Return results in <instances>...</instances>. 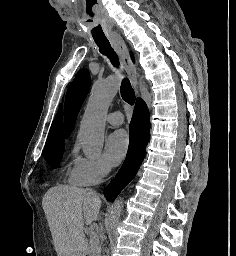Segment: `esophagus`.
Returning a JSON list of instances; mask_svg holds the SVG:
<instances>
[{
	"label": "esophagus",
	"instance_id": "34e87169",
	"mask_svg": "<svg viewBox=\"0 0 236 256\" xmlns=\"http://www.w3.org/2000/svg\"><path fill=\"white\" fill-rule=\"evenodd\" d=\"M110 40L113 43V45L119 55L122 65L128 75V78L130 79L132 85L137 87L138 80H137L136 68L131 61L129 51H128L125 41L123 40V38L121 37V35L119 33L111 34ZM138 95H139V93H138Z\"/></svg>",
	"mask_w": 236,
	"mask_h": 256
}]
</instances>
